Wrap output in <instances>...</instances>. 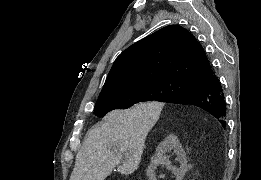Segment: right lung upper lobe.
<instances>
[{"instance_id":"right-lung-upper-lobe-1","label":"right lung upper lobe","mask_w":261,"mask_h":180,"mask_svg":"<svg viewBox=\"0 0 261 180\" xmlns=\"http://www.w3.org/2000/svg\"><path fill=\"white\" fill-rule=\"evenodd\" d=\"M213 72L205 52L185 28L166 26L134 43L115 60L100 95L160 80L197 82Z\"/></svg>"}]
</instances>
